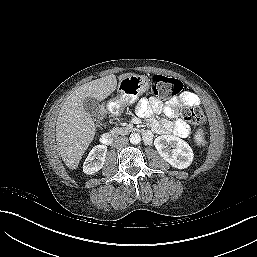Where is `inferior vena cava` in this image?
Returning a JSON list of instances; mask_svg holds the SVG:
<instances>
[{"label":"inferior vena cava","mask_w":257,"mask_h":257,"mask_svg":"<svg viewBox=\"0 0 257 257\" xmlns=\"http://www.w3.org/2000/svg\"><path fill=\"white\" fill-rule=\"evenodd\" d=\"M128 142L129 141H128V138L126 136L117 137L114 140V147H116V148H123L126 145H128Z\"/></svg>","instance_id":"1"}]
</instances>
